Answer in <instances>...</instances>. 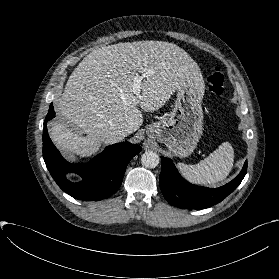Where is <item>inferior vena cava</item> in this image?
<instances>
[{
	"mask_svg": "<svg viewBox=\"0 0 279 279\" xmlns=\"http://www.w3.org/2000/svg\"><path fill=\"white\" fill-rule=\"evenodd\" d=\"M121 133H122V135H123L124 137H126L127 135H129V134L132 133V129H131L130 127H128V128H123V129L121 130Z\"/></svg>",
	"mask_w": 279,
	"mask_h": 279,
	"instance_id": "1",
	"label": "inferior vena cava"
}]
</instances>
